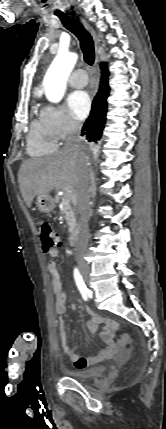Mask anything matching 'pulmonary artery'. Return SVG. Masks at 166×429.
I'll return each instance as SVG.
<instances>
[{
	"mask_svg": "<svg viewBox=\"0 0 166 429\" xmlns=\"http://www.w3.org/2000/svg\"><path fill=\"white\" fill-rule=\"evenodd\" d=\"M69 83L72 87L80 88L84 87L88 83V77L83 69H77L75 70L70 78Z\"/></svg>",
	"mask_w": 166,
	"mask_h": 429,
	"instance_id": "obj_1",
	"label": "pulmonary artery"
}]
</instances>
